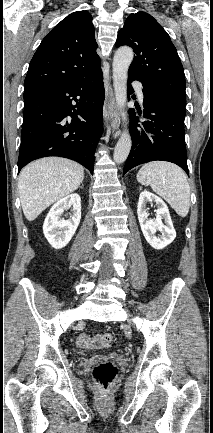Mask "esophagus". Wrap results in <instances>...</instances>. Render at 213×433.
I'll return each mask as SVG.
<instances>
[{
	"mask_svg": "<svg viewBox=\"0 0 213 433\" xmlns=\"http://www.w3.org/2000/svg\"><path fill=\"white\" fill-rule=\"evenodd\" d=\"M103 113L104 120L106 123H109L114 137H118L120 135V122L113 90L111 87L109 89V101L104 105Z\"/></svg>",
	"mask_w": 213,
	"mask_h": 433,
	"instance_id": "esophagus-1",
	"label": "esophagus"
}]
</instances>
